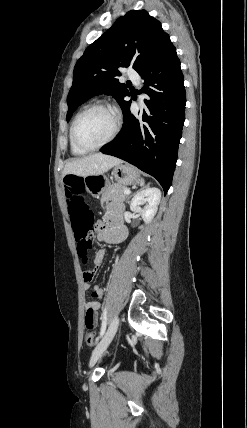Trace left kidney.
<instances>
[{
	"label": "left kidney",
	"mask_w": 247,
	"mask_h": 428,
	"mask_svg": "<svg viewBox=\"0 0 247 428\" xmlns=\"http://www.w3.org/2000/svg\"><path fill=\"white\" fill-rule=\"evenodd\" d=\"M161 199V191L156 187L146 188L137 192L130 203V209L139 213L145 224H149L155 216ZM144 204H146L144 207ZM142 228V226L140 227Z\"/></svg>",
	"instance_id": "obj_1"
}]
</instances>
